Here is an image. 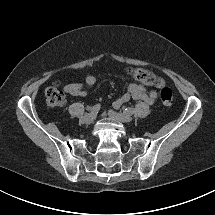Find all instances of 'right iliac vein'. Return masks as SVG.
<instances>
[{"mask_svg":"<svg viewBox=\"0 0 215 215\" xmlns=\"http://www.w3.org/2000/svg\"><path fill=\"white\" fill-rule=\"evenodd\" d=\"M95 119V114L94 113H88V114H85L84 118H83V122L85 124H91Z\"/></svg>","mask_w":215,"mask_h":215,"instance_id":"obj_1","label":"right iliac vein"}]
</instances>
